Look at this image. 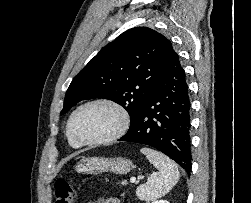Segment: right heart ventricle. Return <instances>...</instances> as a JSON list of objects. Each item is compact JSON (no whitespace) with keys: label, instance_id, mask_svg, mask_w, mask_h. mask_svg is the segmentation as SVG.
<instances>
[{"label":"right heart ventricle","instance_id":"right-heart-ventricle-1","mask_svg":"<svg viewBox=\"0 0 251 203\" xmlns=\"http://www.w3.org/2000/svg\"><path fill=\"white\" fill-rule=\"evenodd\" d=\"M66 137H67V141L69 143L70 146L74 147V148H78L80 146V144H78L77 142H75L71 136L68 133V130H66Z\"/></svg>","mask_w":251,"mask_h":203}]
</instances>
